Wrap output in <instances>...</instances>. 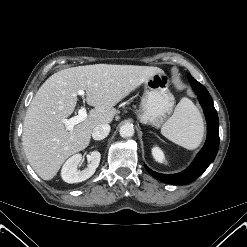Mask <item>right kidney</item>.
I'll list each match as a JSON object with an SVG mask.
<instances>
[{
	"mask_svg": "<svg viewBox=\"0 0 247 247\" xmlns=\"http://www.w3.org/2000/svg\"><path fill=\"white\" fill-rule=\"evenodd\" d=\"M89 164L84 170H78V165L82 160L81 154L70 157L61 170L62 179L67 183H78L90 178L99 166L101 154L98 151L91 152L88 156Z\"/></svg>",
	"mask_w": 247,
	"mask_h": 247,
	"instance_id": "right-kidney-1",
	"label": "right kidney"
}]
</instances>
